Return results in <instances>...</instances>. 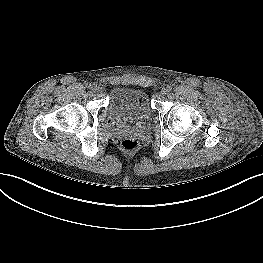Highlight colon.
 <instances>
[{
    "instance_id": "1",
    "label": "colon",
    "mask_w": 263,
    "mask_h": 263,
    "mask_svg": "<svg viewBox=\"0 0 263 263\" xmlns=\"http://www.w3.org/2000/svg\"><path fill=\"white\" fill-rule=\"evenodd\" d=\"M137 142L133 139H125L122 141V147L126 151H133L137 148Z\"/></svg>"
}]
</instances>
